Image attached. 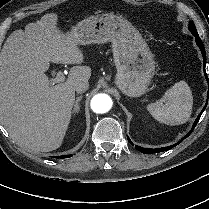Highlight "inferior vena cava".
Wrapping results in <instances>:
<instances>
[{"mask_svg": "<svg viewBox=\"0 0 209 209\" xmlns=\"http://www.w3.org/2000/svg\"><path fill=\"white\" fill-rule=\"evenodd\" d=\"M89 87V83L88 81H82L79 82L76 86H75V91L77 93H84Z\"/></svg>", "mask_w": 209, "mask_h": 209, "instance_id": "inferior-vena-cava-1", "label": "inferior vena cava"}]
</instances>
